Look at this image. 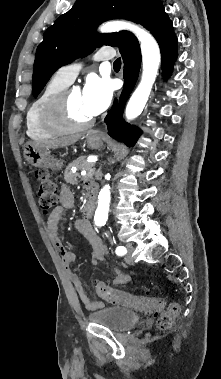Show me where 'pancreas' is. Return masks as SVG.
<instances>
[{"instance_id":"cf45deb5","label":"pancreas","mask_w":221,"mask_h":379,"mask_svg":"<svg viewBox=\"0 0 221 379\" xmlns=\"http://www.w3.org/2000/svg\"><path fill=\"white\" fill-rule=\"evenodd\" d=\"M73 166L77 167L79 170L84 169V170L89 172L93 168L94 164L86 162L84 157H80V158H77L76 160L72 161L66 167L65 172H64V180L70 184H77L79 182L78 179L84 180L87 178V176L82 177L78 172L72 173L71 168Z\"/></svg>"}]
</instances>
